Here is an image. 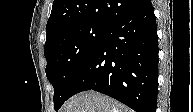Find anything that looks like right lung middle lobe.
I'll return each mask as SVG.
<instances>
[{
    "label": "right lung middle lobe",
    "instance_id": "1",
    "mask_svg": "<svg viewBox=\"0 0 193 112\" xmlns=\"http://www.w3.org/2000/svg\"><path fill=\"white\" fill-rule=\"evenodd\" d=\"M107 29L97 23H79L60 30L46 41V76L54 87L56 111L69 99L76 76Z\"/></svg>",
    "mask_w": 193,
    "mask_h": 112
}]
</instances>
